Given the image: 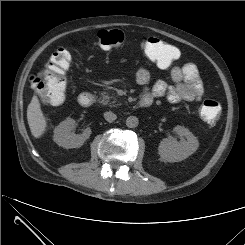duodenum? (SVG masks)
<instances>
[{"mask_svg": "<svg viewBox=\"0 0 245 245\" xmlns=\"http://www.w3.org/2000/svg\"><path fill=\"white\" fill-rule=\"evenodd\" d=\"M95 101V96L90 92H84L79 96L78 102L82 107H89ZM151 98L144 97L139 101L140 108H147L151 105Z\"/></svg>", "mask_w": 245, "mask_h": 245, "instance_id": "obj_1", "label": "duodenum"}]
</instances>
